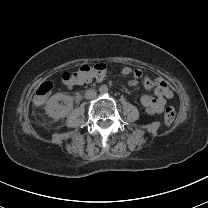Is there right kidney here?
<instances>
[{"mask_svg": "<svg viewBox=\"0 0 208 208\" xmlns=\"http://www.w3.org/2000/svg\"><path fill=\"white\" fill-rule=\"evenodd\" d=\"M61 100L65 101L67 106H60L58 102ZM72 105L73 100L70 96L62 93H56L48 99L45 111L52 118L60 119L68 115L72 109Z\"/></svg>", "mask_w": 208, "mask_h": 208, "instance_id": "1", "label": "right kidney"}]
</instances>
